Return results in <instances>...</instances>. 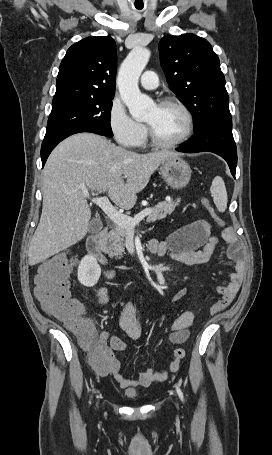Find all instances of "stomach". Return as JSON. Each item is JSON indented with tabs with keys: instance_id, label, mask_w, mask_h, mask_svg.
I'll return each mask as SVG.
<instances>
[{
	"instance_id": "1",
	"label": "stomach",
	"mask_w": 272,
	"mask_h": 455,
	"mask_svg": "<svg viewBox=\"0 0 272 455\" xmlns=\"http://www.w3.org/2000/svg\"><path fill=\"white\" fill-rule=\"evenodd\" d=\"M159 171L165 182L175 189L184 188L189 183L192 172L190 166L178 156L165 159Z\"/></svg>"
}]
</instances>
